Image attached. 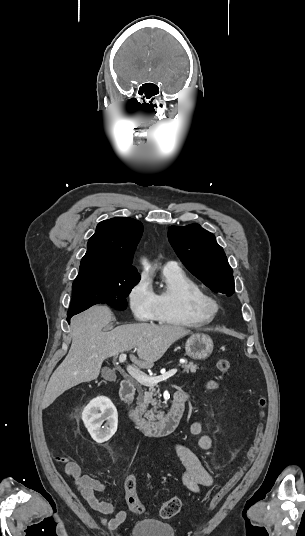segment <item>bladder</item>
<instances>
[{
  "mask_svg": "<svg viewBox=\"0 0 305 536\" xmlns=\"http://www.w3.org/2000/svg\"><path fill=\"white\" fill-rule=\"evenodd\" d=\"M157 534L175 536V529L171 522L156 517L143 518L131 528V536H152Z\"/></svg>",
  "mask_w": 305,
  "mask_h": 536,
  "instance_id": "bladder-1",
  "label": "bladder"
}]
</instances>
